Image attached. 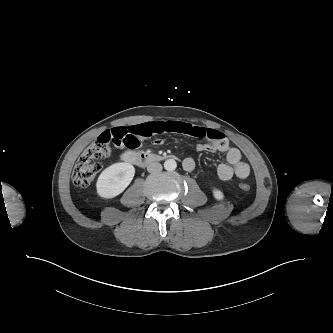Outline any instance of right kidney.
Returning <instances> with one entry per match:
<instances>
[{
  "mask_svg": "<svg viewBox=\"0 0 333 333\" xmlns=\"http://www.w3.org/2000/svg\"><path fill=\"white\" fill-rule=\"evenodd\" d=\"M135 169L132 164L121 162L107 167L97 180V194L103 199H112L121 194L132 181Z\"/></svg>",
  "mask_w": 333,
  "mask_h": 333,
  "instance_id": "obj_1",
  "label": "right kidney"
}]
</instances>
